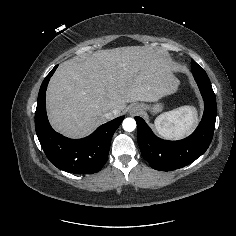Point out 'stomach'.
I'll list each match as a JSON object with an SVG mask.
<instances>
[{
    "mask_svg": "<svg viewBox=\"0 0 236 236\" xmlns=\"http://www.w3.org/2000/svg\"><path fill=\"white\" fill-rule=\"evenodd\" d=\"M140 106L143 110H149L152 114H156L162 111L163 109V106L160 103L153 104L152 106L147 104H141Z\"/></svg>",
    "mask_w": 236,
    "mask_h": 236,
    "instance_id": "1",
    "label": "stomach"
}]
</instances>
